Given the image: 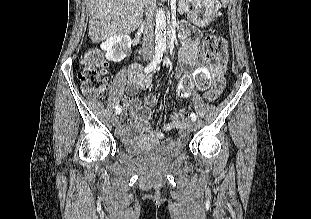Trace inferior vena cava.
<instances>
[{"label":"inferior vena cava","mask_w":311,"mask_h":219,"mask_svg":"<svg viewBox=\"0 0 311 219\" xmlns=\"http://www.w3.org/2000/svg\"><path fill=\"white\" fill-rule=\"evenodd\" d=\"M145 5V31L143 34L142 51L148 52L154 50L153 14L155 10V0H143Z\"/></svg>","instance_id":"inferior-vena-cava-1"}]
</instances>
